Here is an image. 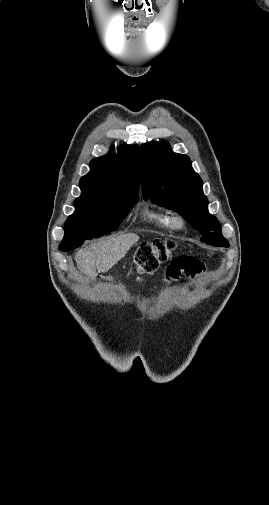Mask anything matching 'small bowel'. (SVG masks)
Wrapping results in <instances>:
<instances>
[{"label":"small bowel","instance_id":"1","mask_svg":"<svg viewBox=\"0 0 269 505\" xmlns=\"http://www.w3.org/2000/svg\"><path fill=\"white\" fill-rule=\"evenodd\" d=\"M163 269L167 272L169 280L173 281L180 274V270L195 277L198 273L205 272L207 268L204 260L174 259L170 262V266L166 265Z\"/></svg>","mask_w":269,"mask_h":505}]
</instances>
